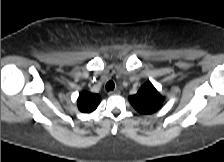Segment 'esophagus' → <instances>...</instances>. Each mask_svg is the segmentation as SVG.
I'll return each mask as SVG.
<instances>
[{
  "mask_svg": "<svg viewBox=\"0 0 224 162\" xmlns=\"http://www.w3.org/2000/svg\"><path fill=\"white\" fill-rule=\"evenodd\" d=\"M116 94H120V90L119 89H115L114 91H110L108 93V95H116Z\"/></svg>",
  "mask_w": 224,
  "mask_h": 162,
  "instance_id": "obj_1",
  "label": "esophagus"
}]
</instances>
